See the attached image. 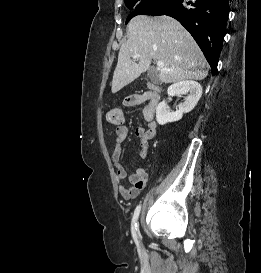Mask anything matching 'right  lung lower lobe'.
Segmentation results:
<instances>
[{"instance_id":"98d812e1","label":"right lung lower lobe","mask_w":261,"mask_h":273,"mask_svg":"<svg viewBox=\"0 0 261 273\" xmlns=\"http://www.w3.org/2000/svg\"><path fill=\"white\" fill-rule=\"evenodd\" d=\"M229 0H170L146 15H168L178 20L193 36L211 66L217 64L226 34Z\"/></svg>"}]
</instances>
